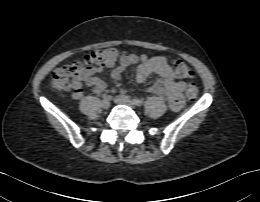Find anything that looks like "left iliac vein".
<instances>
[{
  "instance_id": "1",
  "label": "left iliac vein",
  "mask_w": 260,
  "mask_h": 202,
  "mask_svg": "<svg viewBox=\"0 0 260 202\" xmlns=\"http://www.w3.org/2000/svg\"><path fill=\"white\" fill-rule=\"evenodd\" d=\"M114 101L117 104L127 105L131 108H134V102L125 95H119V96L115 97Z\"/></svg>"
}]
</instances>
